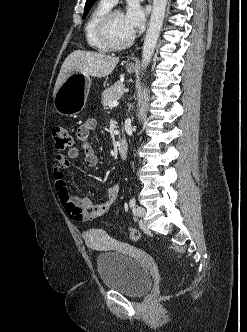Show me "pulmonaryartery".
Masks as SVG:
<instances>
[{"mask_svg":"<svg viewBox=\"0 0 247 332\" xmlns=\"http://www.w3.org/2000/svg\"><path fill=\"white\" fill-rule=\"evenodd\" d=\"M105 1L113 6L117 3L118 0H105Z\"/></svg>","mask_w":247,"mask_h":332,"instance_id":"pulmonary-artery-1","label":"pulmonary artery"}]
</instances>
